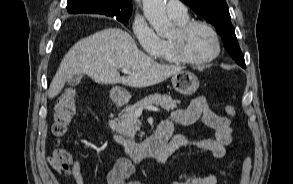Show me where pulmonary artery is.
<instances>
[{"label": "pulmonary artery", "mask_w": 293, "mask_h": 184, "mask_svg": "<svg viewBox=\"0 0 293 184\" xmlns=\"http://www.w3.org/2000/svg\"><path fill=\"white\" fill-rule=\"evenodd\" d=\"M167 13L172 18H183L187 16V8L179 0H169L167 3Z\"/></svg>", "instance_id": "pulmonary-artery-1"}]
</instances>
